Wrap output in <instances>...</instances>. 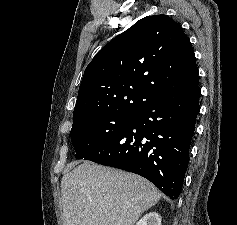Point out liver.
Instances as JSON below:
<instances>
[{
  "mask_svg": "<svg viewBox=\"0 0 237 225\" xmlns=\"http://www.w3.org/2000/svg\"><path fill=\"white\" fill-rule=\"evenodd\" d=\"M160 197L145 178L89 161L61 179L64 225H134Z\"/></svg>",
  "mask_w": 237,
  "mask_h": 225,
  "instance_id": "6515ba94",
  "label": "liver"
}]
</instances>
